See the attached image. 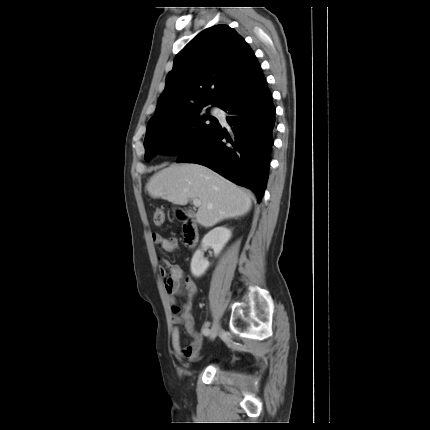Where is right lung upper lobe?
Returning a JSON list of instances; mask_svg holds the SVG:
<instances>
[{"mask_svg":"<svg viewBox=\"0 0 430 430\" xmlns=\"http://www.w3.org/2000/svg\"><path fill=\"white\" fill-rule=\"evenodd\" d=\"M263 77L253 50L234 29L210 27L176 55L147 128L193 108L222 105L236 88Z\"/></svg>","mask_w":430,"mask_h":430,"instance_id":"1","label":"right lung upper lobe"}]
</instances>
